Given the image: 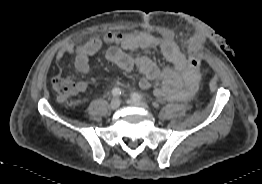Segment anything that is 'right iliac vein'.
Wrapping results in <instances>:
<instances>
[{
	"mask_svg": "<svg viewBox=\"0 0 262 184\" xmlns=\"http://www.w3.org/2000/svg\"><path fill=\"white\" fill-rule=\"evenodd\" d=\"M120 106V100L118 98H113L110 102V109L116 110Z\"/></svg>",
	"mask_w": 262,
	"mask_h": 184,
	"instance_id": "right-iliac-vein-1",
	"label": "right iliac vein"
}]
</instances>
